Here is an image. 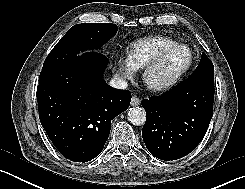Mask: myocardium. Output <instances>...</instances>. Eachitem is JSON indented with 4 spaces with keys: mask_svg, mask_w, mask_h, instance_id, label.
<instances>
[{
    "mask_svg": "<svg viewBox=\"0 0 245 189\" xmlns=\"http://www.w3.org/2000/svg\"><path fill=\"white\" fill-rule=\"evenodd\" d=\"M180 48L186 49L188 51L189 59L187 64L183 67L182 70H180L174 77H172L168 81L162 83H152L150 81L151 73L161 65V63L164 61V59L169 53ZM193 62L194 55L191 49L185 44L175 43L164 48L153 60H151L148 64L144 66L143 81L145 85L154 92L169 90L173 88L175 85H177L187 75V73L190 71L193 65Z\"/></svg>",
    "mask_w": 245,
    "mask_h": 189,
    "instance_id": "obj_1",
    "label": "myocardium"
}]
</instances>
